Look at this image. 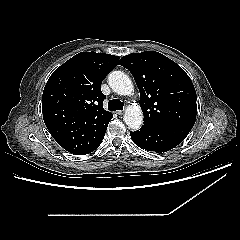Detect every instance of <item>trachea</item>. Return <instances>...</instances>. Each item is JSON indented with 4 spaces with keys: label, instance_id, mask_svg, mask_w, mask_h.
Segmentation results:
<instances>
[{
    "label": "trachea",
    "instance_id": "obj_1",
    "mask_svg": "<svg viewBox=\"0 0 240 240\" xmlns=\"http://www.w3.org/2000/svg\"><path fill=\"white\" fill-rule=\"evenodd\" d=\"M124 103L118 99H112L108 102V109L110 111L123 110Z\"/></svg>",
    "mask_w": 240,
    "mask_h": 240
}]
</instances>
